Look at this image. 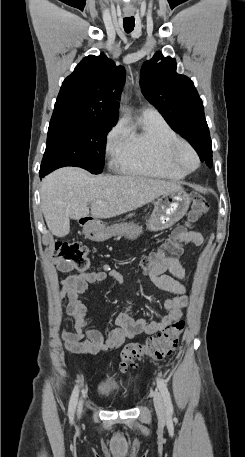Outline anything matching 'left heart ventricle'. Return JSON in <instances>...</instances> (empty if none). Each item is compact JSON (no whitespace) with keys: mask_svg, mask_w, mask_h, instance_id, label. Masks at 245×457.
I'll use <instances>...</instances> for the list:
<instances>
[{"mask_svg":"<svg viewBox=\"0 0 245 457\" xmlns=\"http://www.w3.org/2000/svg\"><path fill=\"white\" fill-rule=\"evenodd\" d=\"M176 160L186 168H191L193 166V159L185 150L176 153Z\"/></svg>","mask_w":245,"mask_h":457,"instance_id":"1","label":"left heart ventricle"}]
</instances>
